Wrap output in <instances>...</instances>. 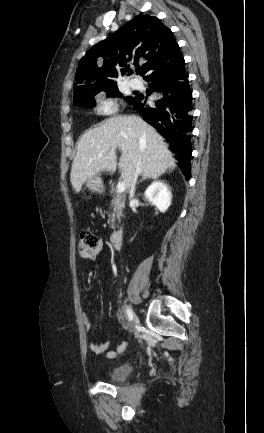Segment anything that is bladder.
Returning a JSON list of instances; mask_svg holds the SVG:
<instances>
[{
    "instance_id": "bladder-1",
    "label": "bladder",
    "mask_w": 264,
    "mask_h": 433,
    "mask_svg": "<svg viewBox=\"0 0 264 433\" xmlns=\"http://www.w3.org/2000/svg\"><path fill=\"white\" fill-rule=\"evenodd\" d=\"M131 372V366L129 364H121L111 368L107 372V379L113 382H119L124 380Z\"/></svg>"
}]
</instances>
